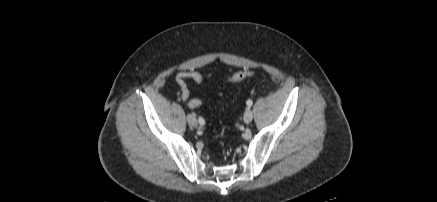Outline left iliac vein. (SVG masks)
<instances>
[{
  "mask_svg": "<svg viewBox=\"0 0 437 202\" xmlns=\"http://www.w3.org/2000/svg\"><path fill=\"white\" fill-rule=\"evenodd\" d=\"M253 119V113L250 109H247L244 113L243 120L246 124H249Z\"/></svg>",
  "mask_w": 437,
  "mask_h": 202,
  "instance_id": "obj_1",
  "label": "left iliac vein"
}]
</instances>
